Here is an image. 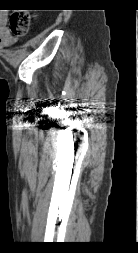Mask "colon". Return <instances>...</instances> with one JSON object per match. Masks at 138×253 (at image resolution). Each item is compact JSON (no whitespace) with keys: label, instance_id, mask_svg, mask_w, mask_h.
Here are the masks:
<instances>
[{"label":"colon","instance_id":"5ec220e1","mask_svg":"<svg viewBox=\"0 0 138 253\" xmlns=\"http://www.w3.org/2000/svg\"><path fill=\"white\" fill-rule=\"evenodd\" d=\"M30 26V17L25 12H16L10 18V29L14 37L24 35Z\"/></svg>","mask_w":138,"mask_h":253}]
</instances>
